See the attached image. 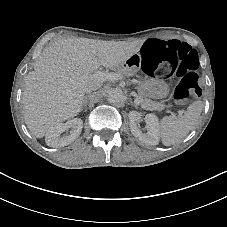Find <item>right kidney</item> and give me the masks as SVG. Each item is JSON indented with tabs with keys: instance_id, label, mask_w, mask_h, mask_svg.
<instances>
[{
	"instance_id": "right-kidney-1",
	"label": "right kidney",
	"mask_w": 227,
	"mask_h": 227,
	"mask_svg": "<svg viewBox=\"0 0 227 227\" xmlns=\"http://www.w3.org/2000/svg\"><path fill=\"white\" fill-rule=\"evenodd\" d=\"M83 121L79 118H74L66 123H58L51 127L45 135V142L53 148L64 147L76 140L81 134ZM70 130L68 135L61 136L67 130Z\"/></svg>"
}]
</instances>
